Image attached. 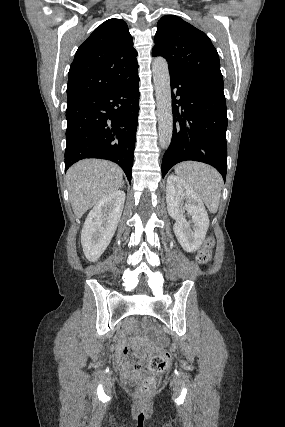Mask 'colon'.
I'll return each instance as SVG.
<instances>
[{"instance_id": "colon-1", "label": "colon", "mask_w": 285, "mask_h": 427, "mask_svg": "<svg viewBox=\"0 0 285 427\" xmlns=\"http://www.w3.org/2000/svg\"><path fill=\"white\" fill-rule=\"evenodd\" d=\"M214 247V238L208 237L197 254V261L201 264H207L212 259V249ZM123 353L125 355H134L135 351L132 347H124ZM170 365V356L167 352H161L152 357L148 362L149 374L144 377L142 382H131V386L135 388L136 392L142 397H147L153 394L158 386L155 374L165 371ZM137 368H141L140 363H136Z\"/></svg>"}]
</instances>
